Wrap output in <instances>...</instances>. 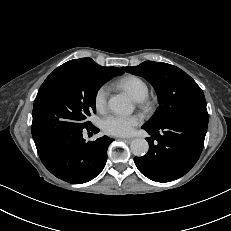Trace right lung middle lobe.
Masks as SVG:
<instances>
[{
	"instance_id": "dd1d6c3e",
	"label": "right lung middle lobe",
	"mask_w": 231,
	"mask_h": 231,
	"mask_svg": "<svg viewBox=\"0 0 231 231\" xmlns=\"http://www.w3.org/2000/svg\"><path fill=\"white\" fill-rule=\"evenodd\" d=\"M121 71L104 67L55 69L41 85L33 107L34 141H50L66 132L92 125L100 87Z\"/></svg>"
}]
</instances>
